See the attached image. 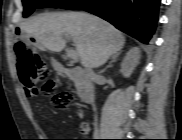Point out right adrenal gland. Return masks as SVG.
<instances>
[{
    "mask_svg": "<svg viewBox=\"0 0 182 140\" xmlns=\"http://www.w3.org/2000/svg\"><path fill=\"white\" fill-rule=\"evenodd\" d=\"M120 53H116L114 55H112L111 57V61L108 63V65L102 70L100 71L99 73H102L104 72L107 68L111 67L112 66V63L116 62L118 57H119Z\"/></svg>",
    "mask_w": 182,
    "mask_h": 140,
    "instance_id": "2a0ac1e0",
    "label": "right adrenal gland"
}]
</instances>
